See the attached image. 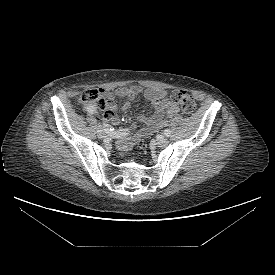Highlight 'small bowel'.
I'll return each mask as SVG.
<instances>
[{"label": "small bowel", "instance_id": "obj_1", "mask_svg": "<svg viewBox=\"0 0 275 275\" xmlns=\"http://www.w3.org/2000/svg\"><path fill=\"white\" fill-rule=\"evenodd\" d=\"M100 92L106 100V106L101 110L105 114V119L113 125H117L120 122V118L116 115V98L126 97L131 101L135 96L142 94L152 104L153 113L151 115L141 114L139 116V119L144 122L146 126L133 138L122 137L118 143V149L120 151L129 150L140 138L147 137L157 129L164 127L169 119L179 113L177 104L166 98L165 91L161 89H144L138 85H131L119 87L114 90L101 89ZM129 101L123 105V109L129 106Z\"/></svg>", "mask_w": 275, "mask_h": 275}]
</instances>
